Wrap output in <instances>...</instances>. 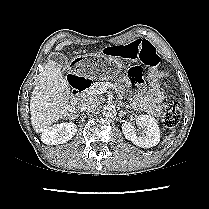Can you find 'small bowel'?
Returning a JSON list of instances; mask_svg holds the SVG:
<instances>
[{
    "mask_svg": "<svg viewBox=\"0 0 209 209\" xmlns=\"http://www.w3.org/2000/svg\"><path fill=\"white\" fill-rule=\"evenodd\" d=\"M129 83L136 88L143 87L148 80L147 74L138 66L131 65L126 70ZM164 98L163 90L156 79H151L148 90H141L132 99L136 110L145 111L151 115H159Z\"/></svg>",
    "mask_w": 209,
    "mask_h": 209,
    "instance_id": "1",
    "label": "small bowel"
}]
</instances>
